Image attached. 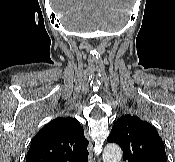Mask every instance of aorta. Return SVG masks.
I'll return each instance as SVG.
<instances>
[{"instance_id": "aorta-1", "label": "aorta", "mask_w": 175, "mask_h": 162, "mask_svg": "<svg viewBox=\"0 0 175 162\" xmlns=\"http://www.w3.org/2000/svg\"><path fill=\"white\" fill-rule=\"evenodd\" d=\"M122 151L117 144H107L103 151V162H120Z\"/></svg>"}]
</instances>
